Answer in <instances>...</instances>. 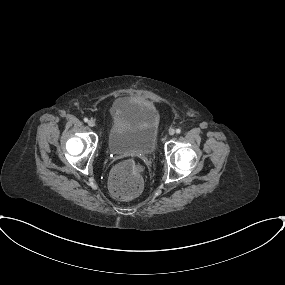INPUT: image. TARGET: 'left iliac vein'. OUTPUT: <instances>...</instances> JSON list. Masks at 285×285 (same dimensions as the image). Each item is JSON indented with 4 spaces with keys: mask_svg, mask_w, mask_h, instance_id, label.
<instances>
[{
    "mask_svg": "<svg viewBox=\"0 0 285 285\" xmlns=\"http://www.w3.org/2000/svg\"><path fill=\"white\" fill-rule=\"evenodd\" d=\"M175 134V130L174 129H170L169 130V135H174Z\"/></svg>",
    "mask_w": 285,
    "mask_h": 285,
    "instance_id": "4c4485c4",
    "label": "left iliac vein"
}]
</instances>
